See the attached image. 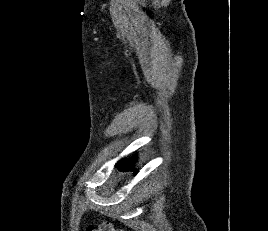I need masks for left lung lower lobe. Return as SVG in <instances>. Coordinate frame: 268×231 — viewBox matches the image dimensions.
<instances>
[{
  "label": "left lung lower lobe",
  "instance_id": "0a47b994",
  "mask_svg": "<svg viewBox=\"0 0 268 231\" xmlns=\"http://www.w3.org/2000/svg\"><path fill=\"white\" fill-rule=\"evenodd\" d=\"M135 160V157L124 161V160H120L116 166L119 170L121 171H128V170H132L133 166H132V162Z\"/></svg>",
  "mask_w": 268,
  "mask_h": 231
}]
</instances>
